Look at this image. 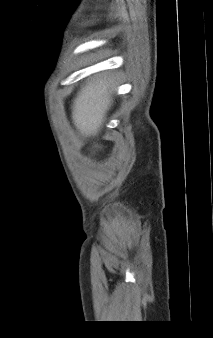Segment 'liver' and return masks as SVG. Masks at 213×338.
<instances>
[{
  "instance_id": "6515ba94",
  "label": "liver",
  "mask_w": 213,
  "mask_h": 338,
  "mask_svg": "<svg viewBox=\"0 0 213 338\" xmlns=\"http://www.w3.org/2000/svg\"><path fill=\"white\" fill-rule=\"evenodd\" d=\"M109 86L103 80L91 82L74 100L72 117L83 136H95L98 133L112 103Z\"/></svg>"
}]
</instances>
